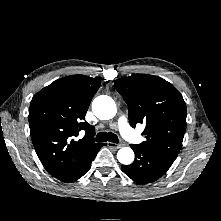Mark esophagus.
<instances>
[{
  "label": "esophagus",
  "mask_w": 221,
  "mask_h": 221,
  "mask_svg": "<svg viewBox=\"0 0 221 221\" xmlns=\"http://www.w3.org/2000/svg\"><path fill=\"white\" fill-rule=\"evenodd\" d=\"M107 146L109 148H113V149H119L122 147V144H116V143H112V142H107Z\"/></svg>",
  "instance_id": "34e87169"
}]
</instances>
